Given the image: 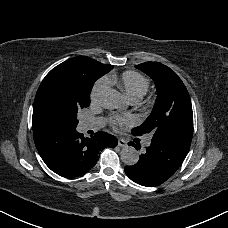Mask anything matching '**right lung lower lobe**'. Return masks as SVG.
<instances>
[{
  "label": "right lung lower lobe",
  "mask_w": 228,
  "mask_h": 228,
  "mask_svg": "<svg viewBox=\"0 0 228 228\" xmlns=\"http://www.w3.org/2000/svg\"><path fill=\"white\" fill-rule=\"evenodd\" d=\"M36 148L45 164L56 174L73 178L88 172L105 147H116L115 136L97 132L90 138L75 129L47 130L33 133Z\"/></svg>",
  "instance_id": "right-lung-lower-lobe-1"
}]
</instances>
